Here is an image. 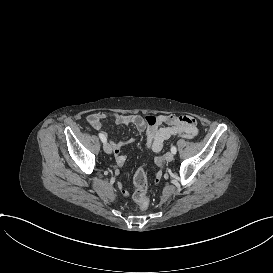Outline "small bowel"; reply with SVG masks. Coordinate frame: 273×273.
Instances as JSON below:
<instances>
[{
	"instance_id": "1",
	"label": "small bowel",
	"mask_w": 273,
	"mask_h": 273,
	"mask_svg": "<svg viewBox=\"0 0 273 273\" xmlns=\"http://www.w3.org/2000/svg\"><path fill=\"white\" fill-rule=\"evenodd\" d=\"M107 119L113 120L118 125L123 126H133L139 132H144L146 134L147 146L153 152H160L165 143L172 137H183L186 139L194 138L198 134V129L196 126V120L190 116L183 115H159L158 123L153 127H148L145 124L144 118L139 114H106V113H93L88 115V124L96 131L108 140L114 158L119 166H123L126 162V156L121 152V148L124 144L132 143L133 138L126 139H111L110 136L102 131L104 122ZM156 164L159 167L164 165V162L160 157L155 159ZM142 169L139 168L134 176V183L136 188L139 185H147L146 176L143 172L142 178H137V175ZM143 171V170H142ZM163 174L158 172L154 178V185L159 187L161 185V180ZM115 188L118 193L123 197L125 201L130 199V195L123 188L122 183H117Z\"/></svg>"
}]
</instances>
